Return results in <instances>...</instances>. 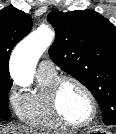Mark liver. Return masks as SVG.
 I'll list each match as a JSON object with an SVG mask.
<instances>
[{
    "label": "liver",
    "instance_id": "1",
    "mask_svg": "<svg viewBox=\"0 0 116 134\" xmlns=\"http://www.w3.org/2000/svg\"><path fill=\"white\" fill-rule=\"evenodd\" d=\"M0 134H36V132L28 128L8 126L0 127Z\"/></svg>",
    "mask_w": 116,
    "mask_h": 134
}]
</instances>
